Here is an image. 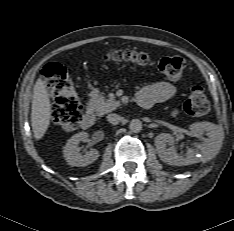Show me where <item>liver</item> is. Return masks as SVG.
<instances>
[{
	"instance_id": "6515ba94",
	"label": "liver",
	"mask_w": 234,
	"mask_h": 231,
	"mask_svg": "<svg viewBox=\"0 0 234 231\" xmlns=\"http://www.w3.org/2000/svg\"><path fill=\"white\" fill-rule=\"evenodd\" d=\"M51 102L45 82L39 78L33 89L31 125L36 140L46 133L51 120Z\"/></svg>"
}]
</instances>
